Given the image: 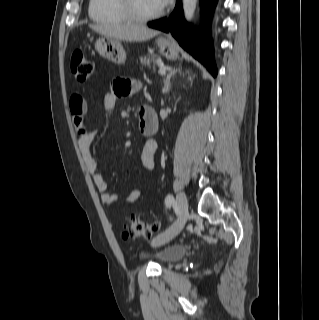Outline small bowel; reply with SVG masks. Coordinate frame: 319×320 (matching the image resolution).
I'll return each instance as SVG.
<instances>
[{
	"label": "small bowel",
	"mask_w": 319,
	"mask_h": 320,
	"mask_svg": "<svg viewBox=\"0 0 319 320\" xmlns=\"http://www.w3.org/2000/svg\"><path fill=\"white\" fill-rule=\"evenodd\" d=\"M141 89V84L138 81L128 78H116L113 82L112 91L104 94L102 98V107L106 112L114 109L118 98L127 97L137 93ZM143 108V107H142ZM141 108V109H142ZM69 109L72 114L73 123L78 133V147L81 152L84 164L87 170L92 174L93 181L100 192L102 202L111 206L117 200V195L108 190V185L103 176L98 171V163L91 152V146L97 135L96 130H88L84 124V114L86 104L83 97L79 94H74L69 101ZM158 145L156 141L148 139L145 141L141 154L140 162L147 170H152L155 167V157L157 154ZM141 196L139 189L131 190L124 198L126 203H134Z\"/></svg>",
	"instance_id": "obj_1"
}]
</instances>
